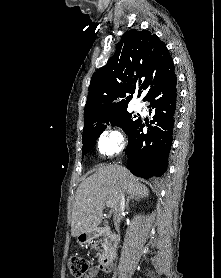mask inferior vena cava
Returning a JSON list of instances; mask_svg holds the SVG:
<instances>
[{
    "label": "inferior vena cava",
    "instance_id": "602c4592",
    "mask_svg": "<svg viewBox=\"0 0 221 278\" xmlns=\"http://www.w3.org/2000/svg\"><path fill=\"white\" fill-rule=\"evenodd\" d=\"M125 208V196L123 193L119 195L117 204L114 207V216H113V222L115 229L119 231V224L121 220V213Z\"/></svg>",
    "mask_w": 221,
    "mask_h": 278
}]
</instances>
